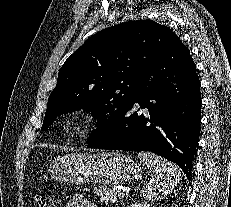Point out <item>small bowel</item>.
<instances>
[{"mask_svg": "<svg viewBox=\"0 0 231 207\" xmlns=\"http://www.w3.org/2000/svg\"><path fill=\"white\" fill-rule=\"evenodd\" d=\"M65 207H97L82 195H73L66 203Z\"/></svg>", "mask_w": 231, "mask_h": 207, "instance_id": "c3829d8e", "label": "small bowel"}]
</instances>
